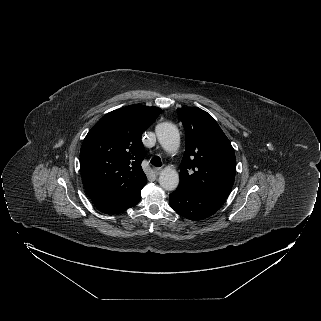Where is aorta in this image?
<instances>
[{"label": "aorta", "instance_id": "obj_1", "mask_svg": "<svg viewBox=\"0 0 321 321\" xmlns=\"http://www.w3.org/2000/svg\"><path fill=\"white\" fill-rule=\"evenodd\" d=\"M155 132L163 149L169 153L177 151L180 145L178 128L170 122H163L156 126ZM160 186L168 191H173L179 184V174L176 170L166 167L160 172Z\"/></svg>", "mask_w": 321, "mask_h": 321}]
</instances>
